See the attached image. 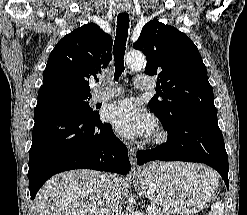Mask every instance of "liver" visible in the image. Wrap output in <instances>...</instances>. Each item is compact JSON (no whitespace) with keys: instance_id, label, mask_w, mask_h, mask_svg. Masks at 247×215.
<instances>
[{"instance_id":"1","label":"liver","mask_w":247,"mask_h":215,"mask_svg":"<svg viewBox=\"0 0 247 215\" xmlns=\"http://www.w3.org/2000/svg\"><path fill=\"white\" fill-rule=\"evenodd\" d=\"M212 174L217 178L214 172ZM107 180L120 187L117 177L94 170L58 174L36 195L34 215H105Z\"/></svg>"}]
</instances>
